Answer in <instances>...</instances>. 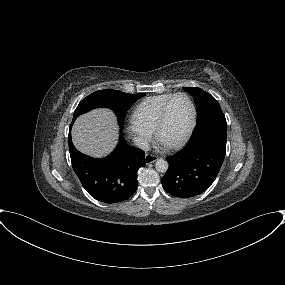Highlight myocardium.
<instances>
[{
    "instance_id": "obj_1",
    "label": "myocardium",
    "mask_w": 285,
    "mask_h": 285,
    "mask_svg": "<svg viewBox=\"0 0 285 285\" xmlns=\"http://www.w3.org/2000/svg\"><path fill=\"white\" fill-rule=\"evenodd\" d=\"M177 97H185L188 100V102L190 104V107H191V118H190V122H189V125L187 127V130L185 131L183 136L180 139H178L177 141H175V142H173L171 144L165 145L169 149H176V148H179L182 145H184L188 141V139L190 138V136H191V134H192V132H193V130L195 128V125H196L197 111H196V106H195L193 100L191 99V97L187 93H184V92L175 93L165 103V105L162 108V111L160 113V116L158 118L156 126L154 128V133H155L156 139L159 140V135H160L161 129L163 128V126H164V124H165V122L167 120V117H168V112H169L170 105L172 104V102Z\"/></svg>"
}]
</instances>
